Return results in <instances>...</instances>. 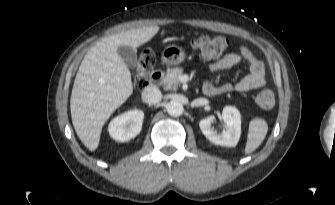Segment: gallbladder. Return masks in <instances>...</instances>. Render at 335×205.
I'll return each instance as SVG.
<instances>
[{"mask_svg":"<svg viewBox=\"0 0 335 205\" xmlns=\"http://www.w3.org/2000/svg\"><path fill=\"white\" fill-rule=\"evenodd\" d=\"M118 55L124 63L131 69H136L138 65L137 52L131 46L121 45L117 48Z\"/></svg>","mask_w":335,"mask_h":205,"instance_id":"bac80fb5","label":"gallbladder"}]
</instances>
